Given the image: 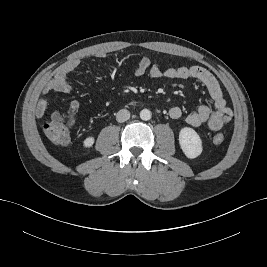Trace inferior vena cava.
<instances>
[{"mask_svg":"<svg viewBox=\"0 0 267 267\" xmlns=\"http://www.w3.org/2000/svg\"><path fill=\"white\" fill-rule=\"evenodd\" d=\"M130 118V112L126 109H121L117 112L116 120L118 122H125Z\"/></svg>","mask_w":267,"mask_h":267,"instance_id":"1","label":"inferior vena cava"}]
</instances>
